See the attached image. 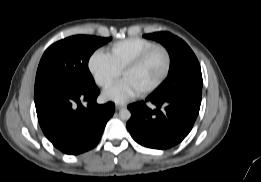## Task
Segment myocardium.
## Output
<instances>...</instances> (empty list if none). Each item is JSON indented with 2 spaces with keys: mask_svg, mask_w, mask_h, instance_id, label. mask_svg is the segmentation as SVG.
I'll list each match as a JSON object with an SVG mask.
<instances>
[{
  "mask_svg": "<svg viewBox=\"0 0 261 182\" xmlns=\"http://www.w3.org/2000/svg\"><path fill=\"white\" fill-rule=\"evenodd\" d=\"M155 51H162L164 53L165 59H166L165 69H164V72L161 75V77L154 84H152L151 86H149L146 89H144L143 91H141L142 94H148V93L155 91L168 78L170 71H171V67H172V57H171L169 50L163 45H155V46L145 50L140 55H138L134 60H132L129 64H127L124 67V69L121 71V75L123 77V75L125 73L138 68Z\"/></svg>",
  "mask_w": 261,
  "mask_h": 182,
  "instance_id": "myocardium-1",
  "label": "myocardium"
}]
</instances>
